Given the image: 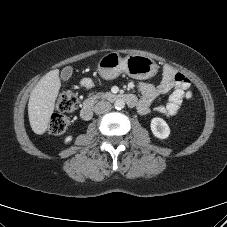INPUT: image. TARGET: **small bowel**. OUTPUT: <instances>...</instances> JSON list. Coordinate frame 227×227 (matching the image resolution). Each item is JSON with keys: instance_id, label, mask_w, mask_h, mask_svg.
Returning a JSON list of instances; mask_svg holds the SVG:
<instances>
[{"instance_id": "c3829d8e", "label": "small bowel", "mask_w": 227, "mask_h": 227, "mask_svg": "<svg viewBox=\"0 0 227 227\" xmlns=\"http://www.w3.org/2000/svg\"><path fill=\"white\" fill-rule=\"evenodd\" d=\"M82 86L86 89H91L94 84L91 80L85 79L82 82ZM189 87V80L183 74L176 73L170 66H165L158 86L148 83L139 84L141 98L137 102V111L141 115L148 114L155 100L160 95L171 91L167 103L157 106L156 110L167 117L174 116L178 113L182 103L191 99L192 93Z\"/></svg>"}]
</instances>
